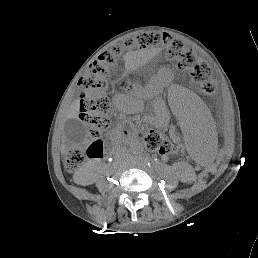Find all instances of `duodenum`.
<instances>
[{
	"instance_id": "410a0bca",
	"label": "duodenum",
	"mask_w": 258,
	"mask_h": 258,
	"mask_svg": "<svg viewBox=\"0 0 258 258\" xmlns=\"http://www.w3.org/2000/svg\"><path fill=\"white\" fill-rule=\"evenodd\" d=\"M87 154L92 159H97L98 157H101L103 155L102 154L101 156H99V152H98L96 146L89 148L87 151Z\"/></svg>"
}]
</instances>
